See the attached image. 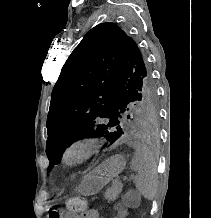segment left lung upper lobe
Here are the masks:
<instances>
[{
    "label": "left lung upper lobe",
    "mask_w": 211,
    "mask_h": 218,
    "mask_svg": "<svg viewBox=\"0 0 211 218\" xmlns=\"http://www.w3.org/2000/svg\"><path fill=\"white\" fill-rule=\"evenodd\" d=\"M157 116L151 73L135 41L114 23L95 26L67 59L52 91L48 171L72 142L102 136L114 143L128 122L149 127Z\"/></svg>",
    "instance_id": "5c2ea615"
}]
</instances>
